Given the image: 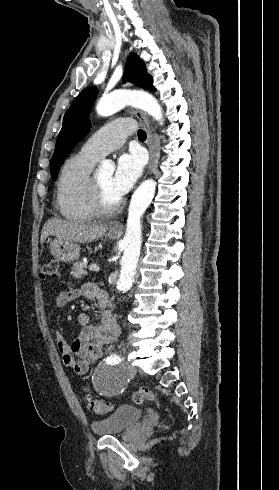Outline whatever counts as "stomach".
Here are the masks:
<instances>
[{
    "label": "stomach",
    "mask_w": 279,
    "mask_h": 490,
    "mask_svg": "<svg viewBox=\"0 0 279 490\" xmlns=\"http://www.w3.org/2000/svg\"><path fill=\"white\" fill-rule=\"evenodd\" d=\"M118 234H121V232H111L109 228L108 236L111 240H115ZM49 250L53 258L59 260V262H74V260H78L80 254L78 244L69 242V240H58V238L50 242Z\"/></svg>",
    "instance_id": "0dacf381"
}]
</instances>
